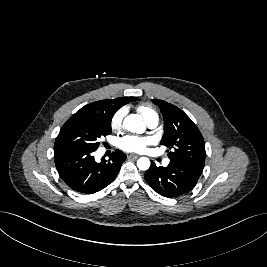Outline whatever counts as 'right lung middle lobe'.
<instances>
[{
	"label": "right lung middle lobe",
	"instance_id": "obj_1",
	"mask_svg": "<svg viewBox=\"0 0 267 267\" xmlns=\"http://www.w3.org/2000/svg\"><path fill=\"white\" fill-rule=\"evenodd\" d=\"M111 117L100 115L90 117L72 116L61 128L54 144V150L76 149L95 151L99 138L109 135Z\"/></svg>",
	"mask_w": 267,
	"mask_h": 267
}]
</instances>
